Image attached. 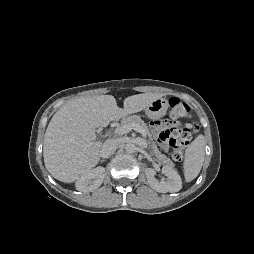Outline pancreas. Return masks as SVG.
I'll use <instances>...</instances> for the list:
<instances>
[{
  "label": "pancreas",
  "instance_id": "cf45deb5",
  "mask_svg": "<svg viewBox=\"0 0 254 254\" xmlns=\"http://www.w3.org/2000/svg\"><path fill=\"white\" fill-rule=\"evenodd\" d=\"M132 123L139 125L145 131L146 135L149 136V144L153 154L162 162L169 165L172 164V161L164 154H161V152L158 150L157 145L155 144V142L152 141L151 133L148 129L147 124L139 116L130 115V116L124 117L121 120V126L132 124Z\"/></svg>",
  "mask_w": 254,
  "mask_h": 254
}]
</instances>
